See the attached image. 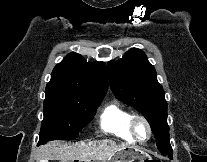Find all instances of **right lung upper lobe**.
<instances>
[{
    "instance_id": "1",
    "label": "right lung upper lobe",
    "mask_w": 207,
    "mask_h": 162,
    "mask_svg": "<svg viewBox=\"0 0 207 162\" xmlns=\"http://www.w3.org/2000/svg\"><path fill=\"white\" fill-rule=\"evenodd\" d=\"M107 88V71L103 62L87 63L81 55L70 53L55 66L46 92L104 97Z\"/></svg>"
}]
</instances>
